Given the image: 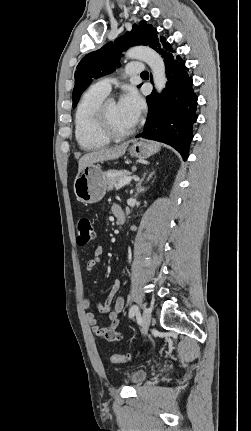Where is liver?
Returning <instances> with one entry per match:
<instances>
[{
	"mask_svg": "<svg viewBox=\"0 0 251 431\" xmlns=\"http://www.w3.org/2000/svg\"><path fill=\"white\" fill-rule=\"evenodd\" d=\"M128 144L129 142H124L115 147L102 148L83 155L79 160L78 171L81 172L87 165L92 163L118 159L125 153Z\"/></svg>",
	"mask_w": 251,
	"mask_h": 431,
	"instance_id": "1",
	"label": "liver"
}]
</instances>
